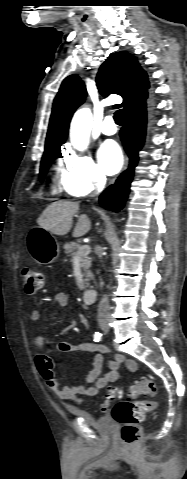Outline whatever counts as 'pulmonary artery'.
<instances>
[{"instance_id": "pulmonary-artery-1", "label": "pulmonary artery", "mask_w": 187, "mask_h": 479, "mask_svg": "<svg viewBox=\"0 0 187 479\" xmlns=\"http://www.w3.org/2000/svg\"><path fill=\"white\" fill-rule=\"evenodd\" d=\"M101 131L104 135L111 136L117 132V128L115 126L114 120L111 116L105 118L102 126Z\"/></svg>"}]
</instances>
